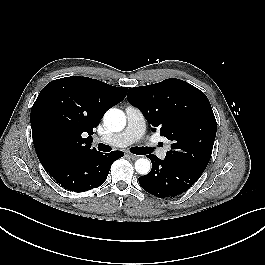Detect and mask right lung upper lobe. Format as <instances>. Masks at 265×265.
Wrapping results in <instances>:
<instances>
[{"label":"right lung upper lobe","mask_w":265,"mask_h":265,"mask_svg":"<svg viewBox=\"0 0 265 265\" xmlns=\"http://www.w3.org/2000/svg\"><path fill=\"white\" fill-rule=\"evenodd\" d=\"M127 91V87L79 76L48 83L30 114L33 143L42 166L97 151L91 148L93 128Z\"/></svg>","instance_id":"1"}]
</instances>
